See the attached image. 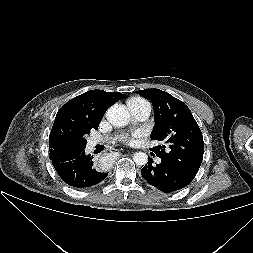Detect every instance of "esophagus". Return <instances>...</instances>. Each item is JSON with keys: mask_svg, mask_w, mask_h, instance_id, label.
Instances as JSON below:
<instances>
[{"mask_svg": "<svg viewBox=\"0 0 253 253\" xmlns=\"http://www.w3.org/2000/svg\"><path fill=\"white\" fill-rule=\"evenodd\" d=\"M114 150H115L114 152H117V153L119 152V150H117V149H114Z\"/></svg>", "mask_w": 253, "mask_h": 253, "instance_id": "obj_1", "label": "esophagus"}]
</instances>
